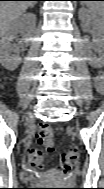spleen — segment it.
Instances as JSON below:
<instances>
[{
	"label": "spleen",
	"instance_id": "obj_1",
	"mask_svg": "<svg viewBox=\"0 0 104 189\" xmlns=\"http://www.w3.org/2000/svg\"><path fill=\"white\" fill-rule=\"evenodd\" d=\"M86 6L90 9L91 12L95 14L103 13V2L102 1H86Z\"/></svg>",
	"mask_w": 104,
	"mask_h": 189
}]
</instances>
